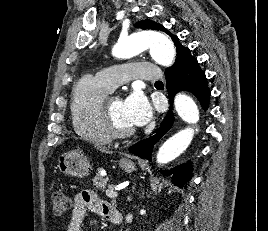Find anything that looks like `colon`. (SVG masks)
Masks as SVG:
<instances>
[{"mask_svg": "<svg viewBox=\"0 0 268 231\" xmlns=\"http://www.w3.org/2000/svg\"><path fill=\"white\" fill-rule=\"evenodd\" d=\"M53 210L55 213H63L69 210V198L61 191H56L52 194Z\"/></svg>", "mask_w": 268, "mask_h": 231, "instance_id": "colon-1", "label": "colon"}]
</instances>
